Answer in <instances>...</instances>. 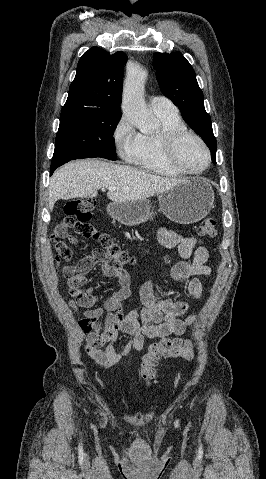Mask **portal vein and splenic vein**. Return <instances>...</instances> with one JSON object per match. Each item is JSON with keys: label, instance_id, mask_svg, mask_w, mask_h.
<instances>
[{"label": "portal vein and splenic vein", "instance_id": "obj_1", "mask_svg": "<svg viewBox=\"0 0 266 479\" xmlns=\"http://www.w3.org/2000/svg\"><path fill=\"white\" fill-rule=\"evenodd\" d=\"M116 187H108V190H115Z\"/></svg>", "mask_w": 266, "mask_h": 479}]
</instances>
